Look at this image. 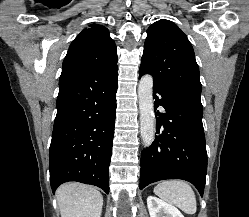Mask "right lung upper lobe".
Instances as JSON below:
<instances>
[{"mask_svg": "<svg viewBox=\"0 0 249 217\" xmlns=\"http://www.w3.org/2000/svg\"><path fill=\"white\" fill-rule=\"evenodd\" d=\"M117 61V48L108 29L93 24L71 43L61 74L93 72Z\"/></svg>", "mask_w": 249, "mask_h": 217, "instance_id": "cb5924a9", "label": "right lung upper lobe"}]
</instances>
